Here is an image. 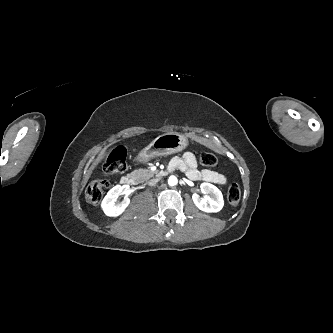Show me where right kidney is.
Segmentation results:
<instances>
[{
	"label": "right kidney",
	"mask_w": 333,
	"mask_h": 333,
	"mask_svg": "<svg viewBox=\"0 0 333 333\" xmlns=\"http://www.w3.org/2000/svg\"><path fill=\"white\" fill-rule=\"evenodd\" d=\"M130 187L129 185H116L109 190L101 203V207L107 216H118L129 205V198L125 197L122 202L117 203V197L121 194H127Z\"/></svg>",
	"instance_id": "obj_1"
}]
</instances>
